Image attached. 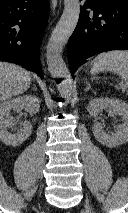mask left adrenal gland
I'll return each instance as SVG.
<instances>
[{
	"label": "left adrenal gland",
	"mask_w": 128,
	"mask_h": 213,
	"mask_svg": "<svg viewBox=\"0 0 128 213\" xmlns=\"http://www.w3.org/2000/svg\"><path fill=\"white\" fill-rule=\"evenodd\" d=\"M87 87L85 88V92L88 90H92L90 83L86 82Z\"/></svg>",
	"instance_id": "a2214340"
}]
</instances>
